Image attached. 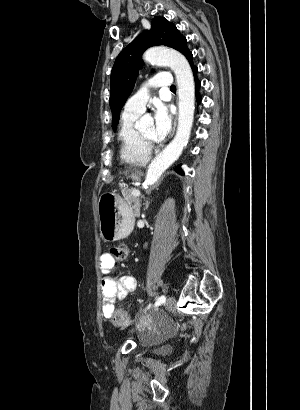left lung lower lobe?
Returning <instances> with one entry per match:
<instances>
[{
	"instance_id": "1",
	"label": "left lung lower lobe",
	"mask_w": 300,
	"mask_h": 410,
	"mask_svg": "<svg viewBox=\"0 0 300 410\" xmlns=\"http://www.w3.org/2000/svg\"><path fill=\"white\" fill-rule=\"evenodd\" d=\"M187 60L189 61L190 65H191V68H192V71H193V74H194L195 86H196V99H197V103L199 104V103L201 102V96H200V94H199V88H200V86H201V83H200V81H199L198 78H197L198 69H197V67L193 64V55H192V53H190V54L188 55ZM175 169H176V171H178L180 174H184L183 171L181 170V165L177 166Z\"/></svg>"
}]
</instances>
